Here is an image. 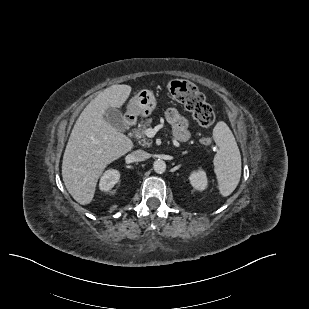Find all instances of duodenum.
<instances>
[{"instance_id":"duodenum-1","label":"duodenum","mask_w":309,"mask_h":309,"mask_svg":"<svg viewBox=\"0 0 309 309\" xmlns=\"http://www.w3.org/2000/svg\"><path fill=\"white\" fill-rule=\"evenodd\" d=\"M126 122L128 125H133L135 124V117H133L132 115H128L126 117Z\"/></svg>"}]
</instances>
